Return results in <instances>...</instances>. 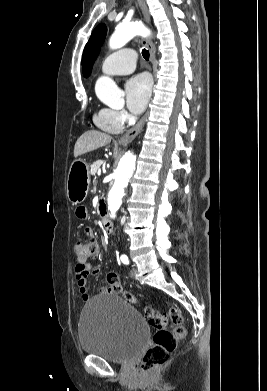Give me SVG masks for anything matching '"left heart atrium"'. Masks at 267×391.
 <instances>
[{
    "label": "left heart atrium",
    "mask_w": 267,
    "mask_h": 391,
    "mask_svg": "<svg viewBox=\"0 0 267 391\" xmlns=\"http://www.w3.org/2000/svg\"><path fill=\"white\" fill-rule=\"evenodd\" d=\"M126 104L128 109L134 113H141L150 98L151 81L146 74H139L130 78L125 85Z\"/></svg>",
    "instance_id": "left-heart-atrium-1"
}]
</instances>
